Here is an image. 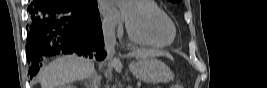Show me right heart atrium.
Returning a JSON list of instances; mask_svg holds the SVG:
<instances>
[{
    "label": "right heart atrium",
    "instance_id": "obj_1",
    "mask_svg": "<svg viewBox=\"0 0 267 88\" xmlns=\"http://www.w3.org/2000/svg\"><path fill=\"white\" fill-rule=\"evenodd\" d=\"M102 27L104 34L108 37H114L122 33V28L109 18L103 20Z\"/></svg>",
    "mask_w": 267,
    "mask_h": 88
}]
</instances>
